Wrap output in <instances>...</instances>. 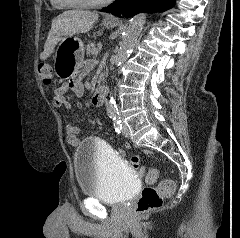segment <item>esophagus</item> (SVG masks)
I'll use <instances>...</instances> for the list:
<instances>
[{"instance_id": "1", "label": "esophagus", "mask_w": 240, "mask_h": 238, "mask_svg": "<svg viewBox=\"0 0 240 238\" xmlns=\"http://www.w3.org/2000/svg\"><path fill=\"white\" fill-rule=\"evenodd\" d=\"M107 19H110V20H117L118 18L116 16H108Z\"/></svg>"}]
</instances>
